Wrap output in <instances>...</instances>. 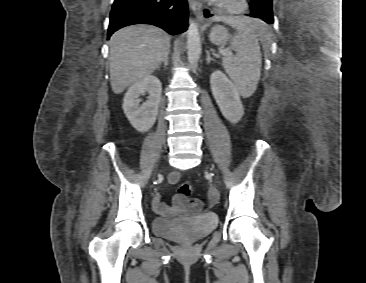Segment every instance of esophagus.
Returning <instances> with one entry per match:
<instances>
[{
    "instance_id": "34e87169",
    "label": "esophagus",
    "mask_w": 366,
    "mask_h": 283,
    "mask_svg": "<svg viewBox=\"0 0 366 283\" xmlns=\"http://www.w3.org/2000/svg\"><path fill=\"white\" fill-rule=\"evenodd\" d=\"M188 2L193 13L200 21H202V4L198 0H188Z\"/></svg>"
}]
</instances>
